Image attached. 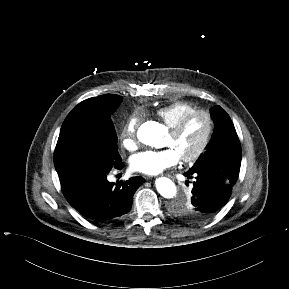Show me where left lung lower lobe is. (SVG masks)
I'll list each match as a JSON object with an SVG mask.
<instances>
[{
  "label": "left lung lower lobe",
  "mask_w": 289,
  "mask_h": 289,
  "mask_svg": "<svg viewBox=\"0 0 289 289\" xmlns=\"http://www.w3.org/2000/svg\"><path fill=\"white\" fill-rule=\"evenodd\" d=\"M189 179L195 177L191 198L193 222H202L214 216L228 201L239 171L208 168L184 173Z\"/></svg>",
  "instance_id": "0a47b994"
}]
</instances>
